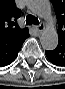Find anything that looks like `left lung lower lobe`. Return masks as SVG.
<instances>
[{"label":"left lung lower lobe","instance_id":"1","mask_svg":"<svg viewBox=\"0 0 65 89\" xmlns=\"http://www.w3.org/2000/svg\"><path fill=\"white\" fill-rule=\"evenodd\" d=\"M48 59L57 66H65V38L59 37L58 46L52 51H45Z\"/></svg>","mask_w":65,"mask_h":89}]
</instances>
